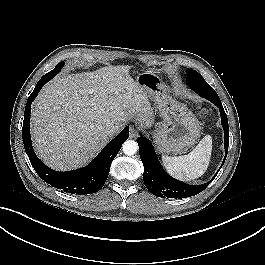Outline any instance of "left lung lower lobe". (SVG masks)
<instances>
[{"mask_svg": "<svg viewBox=\"0 0 265 265\" xmlns=\"http://www.w3.org/2000/svg\"><path fill=\"white\" fill-rule=\"evenodd\" d=\"M187 85L198 95L215 104L220 110L224 129V147L226 151L225 158L221 165L222 167L227 156L229 142V125L222 103L215 90L206 81L189 82ZM137 143L139 145L140 158L144 165V184L153 195L162 198L182 199L194 196L207 187L208 183L194 186L172 178L162 168L150 141L141 136L137 138ZM219 170L211 181L217 176Z\"/></svg>", "mask_w": 265, "mask_h": 265, "instance_id": "0a47b994", "label": "left lung lower lobe"}]
</instances>
